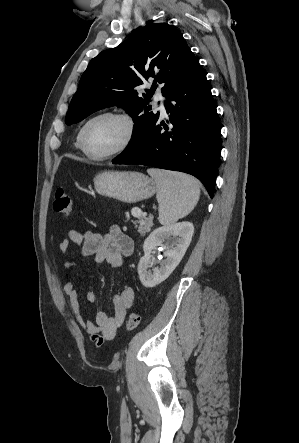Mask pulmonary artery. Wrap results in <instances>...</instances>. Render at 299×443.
I'll use <instances>...</instances> for the list:
<instances>
[{"mask_svg":"<svg viewBox=\"0 0 299 443\" xmlns=\"http://www.w3.org/2000/svg\"><path fill=\"white\" fill-rule=\"evenodd\" d=\"M155 100L159 102V109L161 111V114L165 115L166 114V108H165L166 98L160 92H158L155 96Z\"/></svg>","mask_w":299,"mask_h":443,"instance_id":"1","label":"pulmonary artery"}]
</instances>
